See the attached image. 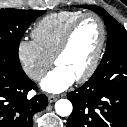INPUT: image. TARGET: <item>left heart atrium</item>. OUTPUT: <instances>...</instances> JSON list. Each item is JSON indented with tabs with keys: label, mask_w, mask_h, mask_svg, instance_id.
I'll use <instances>...</instances> for the list:
<instances>
[{
	"label": "left heart atrium",
	"mask_w": 127,
	"mask_h": 127,
	"mask_svg": "<svg viewBox=\"0 0 127 127\" xmlns=\"http://www.w3.org/2000/svg\"><path fill=\"white\" fill-rule=\"evenodd\" d=\"M75 80L72 74L57 66L41 81V88L50 93H60L71 86Z\"/></svg>",
	"instance_id": "obj_1"
}]
</instances>
